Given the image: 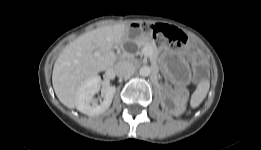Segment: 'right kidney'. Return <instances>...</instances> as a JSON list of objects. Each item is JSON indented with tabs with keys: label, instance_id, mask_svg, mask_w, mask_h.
<instances>
[{
	"label": "right kidney",
	"instance_id": "obj_1",
	"mask_svg": "<svg viewBox=\"0 0 261 150\" xmlns=\"http://www.w3.org/2000/svg\"><path fill=\"white\" fill-rule=\"evenodd\" d=\"M100 87L101 78L98 75L86 79L81 83L75 92L77 110L89 116L99 115L106 111L112 103L116 87H107L103 92V100L94 98V95L99 92Z\"/></svg>",
	"mask_w": 261,
	"mask_h": 150
}]
</instances>
